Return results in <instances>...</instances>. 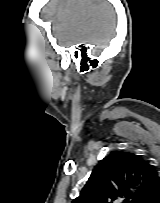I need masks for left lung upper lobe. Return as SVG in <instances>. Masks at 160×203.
I'll use <instances>...</instances> for the list:
<instances>
[{
  "instance_id": "obj_1",
  "label": "left lung upper lobe",
  "mask_w": 160,
  "mask_h": 203,
  "mask_svg": "<svg viewBox=\"0 0 160 203\" xmlns=\"http://www.w3.org/2000/svg\"><path fill=\"white\" fill-rule=\"evenodd\" d=\"M160 175L139 155L114 151L96 167L72 203H151Z\"/></svg>"
}]
</instances>
